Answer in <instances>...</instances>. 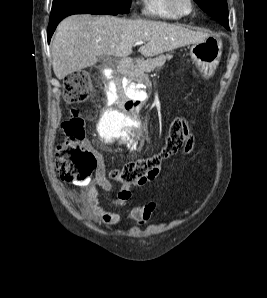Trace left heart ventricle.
<instances>
[{"mask_svg":"<svg viewBox=\"0 0 267 298\" xmlns=\"http://www.w3.org/2000/svg\"><path fill=\"white\" fill-rule=\"evenodd\" d=\"M176 5L178 7V9L182 12H187L189 11V3L188 0H175Z\"/></svg>","mask_w":267,"mask_h":298,"instance_id":"b2bd125f","label":"left heart ventricle"}]
</instances>
